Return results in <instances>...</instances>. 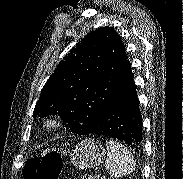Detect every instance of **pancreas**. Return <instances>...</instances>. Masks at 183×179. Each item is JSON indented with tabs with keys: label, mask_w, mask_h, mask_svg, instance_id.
<instances>
[{
	"label": "pancreas",
	"mask_w": 183,
	"mask_h": 179,
	"mask_svg": "<svg viewBox=\"0 0 183 179\" xmlns=\"http://www.w3.org/2000/svg\"><path fill=\"white\" fill-rule=\"evenodd\" d=\"M81 179H89V177L83 176Z\"/></svg>",
	"instance_id": "cf45deb5"
}]
</instances>
